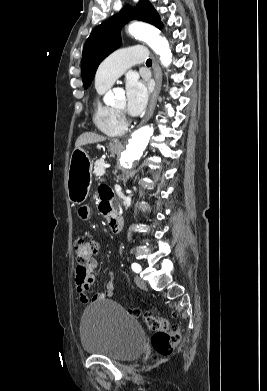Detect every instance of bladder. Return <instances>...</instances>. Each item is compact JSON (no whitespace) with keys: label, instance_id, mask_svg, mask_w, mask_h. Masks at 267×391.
<instances>
[{"label":"bladder","instance_id":"bladder-1","mask_svg":"<svg viewBox=\"0 0 267 391\" xmlns=\"http://www.w3.org/2000/svg\"><path fill=\"white\" fill-rule=\"evenodd\" d=\"M83 350L117 361L137 358L143 351L145 334L141 325L114 301L87 308L80 326Z\"/></svg>","mask_w":267,"mask_h":391}]
</instances>
